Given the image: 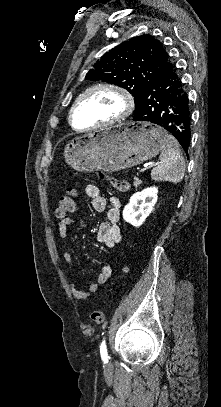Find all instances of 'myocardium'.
Instances as JSON below:
<instances>
[{
    "label": "myocardium",
    "instance_id": "1",
    "mask_svg": "<svg viewBox=\"0 0 221 407\" xmlns=\"http://www.w3.org/2000/svg\"><path fill=\"white\" fill-rule=\"evenodd\" d=\"M100 90H108V91H113V92L117 93L123 100V104H124L123 111L118 116H116L110 120H107L103 123H100L96 126L86 128L84 130H80V129L76 128L75 124H74V115H75L76 109L87 96H89L93 92L100 91ZM133 109H134V99L128 89H126L123 86L116 85V84H98V85H94V86L88 88L82 94H80L78 96V98L75 100L73 106L70 109L69 121H70L72 127L74 129H77L78 131H92V130L101 128L106 125H111V124L117 123V122L125 119L132 113Z\"/></svg>",
    "mask_w": 221,
    "mask_h": 407
}]
</instances>
